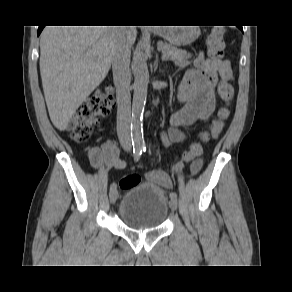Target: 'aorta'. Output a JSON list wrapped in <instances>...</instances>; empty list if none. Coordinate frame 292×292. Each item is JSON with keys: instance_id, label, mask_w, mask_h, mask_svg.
I'll return each mask as SVG.
<instances>
[{"instance_id": "obj_1", "label": "aorta", "mask_w": 292, "mask_h": 292, "mask_svg": "<svg viewBox=\"0 0 292 292\" xmlns=\"http://www.w3.org/2000/svg\"><path fill=\"white\" fill-rule=\"evenodd\" d=\"M149 72L146 56L141 49L135 54L131 130L135 144L141 143L142 118L147 99Z\"/></svg>"}]
</instances>
